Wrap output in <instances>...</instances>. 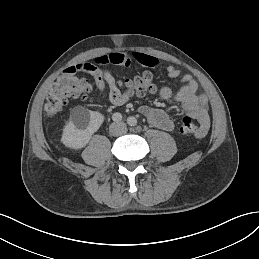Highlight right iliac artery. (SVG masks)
Instances as JSON below:
<instances>
[{
	"instance_id": "obj_1",
	"label": "right iliac artery",
	"mask_w": 259,
	"mask_h": 259,
	"mask_svg": "<svg viewBox=\"0 0 259 259\" xmlns=\"http://www.w3.org/2000/svg\"><path fill=\"white\" fill-rule=\"evenodd\" d=\"M112 120L115 122H120L122 120V115L120 113H114L112 115Z\"/></svg>"
}]
</instances>
